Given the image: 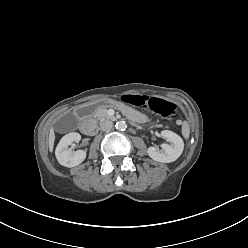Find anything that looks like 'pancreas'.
<instances>
[{
	"label": "pancreas",
	"mask_w": 248,
	"mask_h": 248,
	"mask_svg": "<svg viewBox=\"0 0 248 248\" xmlns=\"http://www.w3.org/2000/svg\"><path fill=\"white\" fill-rule=\"evenodd\" d=\"M107 108L108 106H101L97 109L95 113V118L99 120L100 122L104 120L112 119V117L109 116L107 113Z\"/></svg>",
	"instance_id": "cf45deb5"
}]
</instances>
